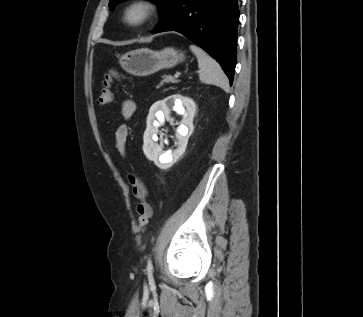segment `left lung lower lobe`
<instances>
[{
  "label": "left lung lower lobe",
  "instance_id": "left-lung-lower-lobe-1",
  "mask_svg": "<svg viewBox=\"0 0 363 317\" xmlns=\"http://www.w3.org/2000/svg\"><path fill=\"white\" fill-rule=\"evenodd\" d=\"M152 31H177L205 49L230 83L236 66L238 0H170Z\"/></svg>",
  "mask_w": 363,
  "mask_h": 317
}]
</instances>
